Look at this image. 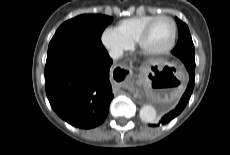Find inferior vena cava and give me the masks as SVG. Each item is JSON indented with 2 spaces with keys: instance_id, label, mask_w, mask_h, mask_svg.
I'll use <instances>...</instances> for the list:
<instances>
[{
  "instance_id": "inferior-vena-cava-1",
  "label": "inferior vena cava",
  "mask_w": 230,
  "mask_h": 155,
  "mask_svg": "<svg viewBox=\"0 0 230 155\" xmlns=\"http://www.w3.org/2000/svg\"><path fill=\"white\" fill-rule=\"evenodd\" d=\"M123 55V50L121 49H112L109 51V56L115 60L120 58Z\"/></svg>"
}]
</instances>
